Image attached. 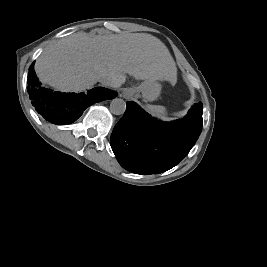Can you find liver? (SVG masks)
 I'll list each match as a JSON object with an SVG mask.
<instances>
[{"label":"liver","mask_w":267,"mask_h":267,"mask_svg":"<svg viewBox=\"0 0 267 267\" xmlns=\"http://www.w3.org/2000/svg\"><path fill=\"white\" fill-rule=\"evenodd\" d=\"M35 72L42 83L72 92L92 87L103 75L115 81V88L125 83L126 74L174 83L177 69L167 47L151 34L77 32L47 46L36 60Z\"/></svg>","instance_id":"obj_1"}]
</instances>
